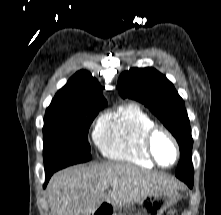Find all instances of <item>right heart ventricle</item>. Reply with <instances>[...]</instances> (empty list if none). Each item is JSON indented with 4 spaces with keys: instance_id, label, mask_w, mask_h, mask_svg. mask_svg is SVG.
<instances>
[{
    "instance_id": "right-heart-ventricle-1",
    "label": "right heart ventricle",
    "mask_w": 221,
    "mask_h": 215,
    "mask_svg": "<svg viewBox=\"0 0 221 215\" xmlns=\"http://www.w3.org/2000/svg\"><path fill=\"white\" fill-rule=\"evenodd\" d=\"M153 125L152 117L138 103L128 102L100 120L94 142L108 159L151 168L154 163L144 149L143 139Z\"/></svg>"
}]
</instances>
